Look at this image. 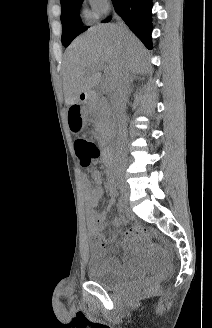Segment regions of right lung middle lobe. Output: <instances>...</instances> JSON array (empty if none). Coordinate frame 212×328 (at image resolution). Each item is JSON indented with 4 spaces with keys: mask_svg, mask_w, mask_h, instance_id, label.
<instances>
[{
    "mask_svg": "<svg viewBox=\"0 0 212 328\" xmlns=\"http://www.w3.org/2000/svg\"><path fill=\"white\" fill-rule=\"evenodd\" d=\"M84 0H61L62 44L67 47L79 34L88 27L79 24V5Z\"/></svg>",
    "mask_w": 212,
    "mask_h": 328,
    "instance_id": "right-lung-middle-lobe-1",
    "label": "right lung middle lobe"
}]
</instances>
